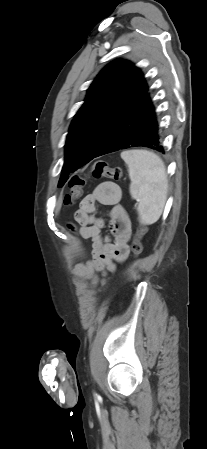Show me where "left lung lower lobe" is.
<instances>
[{"mask_svg": "<svg viewBox=\"0 0 207 449\" xmlns=\"http://www.w3.org/2000/svg\"><path fill=\"white\" fill-rule=\"evenodd\" d=\"M136 146L164 152L155 109L149 94L112 129L94 158Z\"/></svg>", "mask_w": 207, "mask_h": 449, "instance_id": "obj_1", "label": "left lung lower lobe"}]
</instances>
